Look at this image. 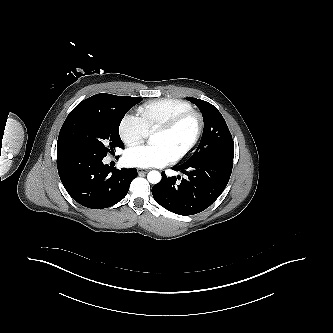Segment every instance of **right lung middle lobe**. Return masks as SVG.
Instances as JSON below:
<instances>
[{
	"label": "right lung middle lobe",
	"mask_w": 333,
	"mask_h": 333,
	"mask_svg": "<svg viewBox=\"0 0 333 333\" xmlns=\"http://www.w3.org/2000/svg\"><path fill=\"white\" fill-rule=\"evenodd\" d=\"M142 100L108 94L104 106L78 104L61 127L57 150L86 151L105 157L116 147L124 148L119 136L120 122L127 111Z\"/></svg>",
	"instance_id": "dd1d6c3e"
}]
</instances>
